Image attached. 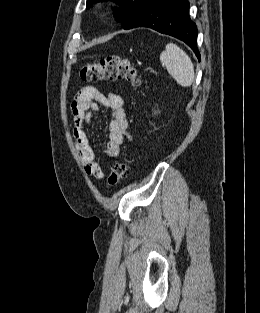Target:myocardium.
Returning <instances> with one entry per match:
<instances>
[{"label":"myocardium","mask_w":260,"mask_h":313,"mask_svg":"<svg viewBox=\"0 0 260 313\" xmlns=\"http://www.w3.org/2000/svg\"><path fill=\"white\" fill-rule=\"evenodd\" d=\"M105 4H106V5H109L110 3H109V2H106Z\"/></svg>","instance_id":"f54148a6"}]
</instances>
